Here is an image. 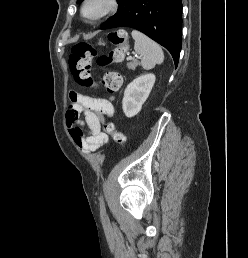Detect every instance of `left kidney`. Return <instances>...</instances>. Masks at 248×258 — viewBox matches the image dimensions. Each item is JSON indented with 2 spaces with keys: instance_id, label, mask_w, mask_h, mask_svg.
Segmentation results:
<instances>
[{
  "instance_id": "1",
  "label": "left kidney",
  "mask_w": 248,
  "mask_h": 258,
  "mask_svg": "<svg viewBox=\"0 0 248 258\" xmlns=\"http://www.w3.org/2000/svg\"><path fill=\"white\" fill-rule=\"evenodd\" d=\"M154 74H145L134 79L124 91L122 109L126 117L137 115L147 100L155 83Z\"/></svg>"
}]
</instances>
